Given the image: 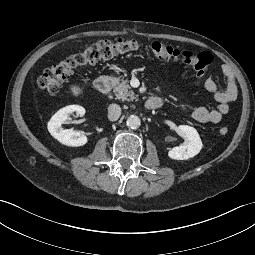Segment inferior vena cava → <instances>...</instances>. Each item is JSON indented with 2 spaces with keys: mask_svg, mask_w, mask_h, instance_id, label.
I'll list each match as a JSON object with an SVG mask.
<instances>
[{
  "mask_svg": "<svg viewBox=\"0 0 255 255\" xmlns=\"http://www.w3.org/2000/svg\"><path fill=\"white\" fill-rule=\"evenodd\" d=\"M121 115V108L117 104H110L108 107V118L110 121H116Z\"/></svg>",
  "mask_w": 255,
  "mask_h": 255,
  "instance_id": "obj_1",
  "label": "inferior vena cava"
}]
</instances>
